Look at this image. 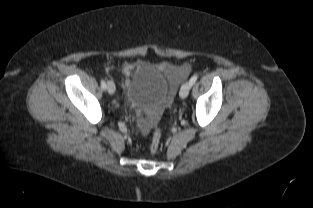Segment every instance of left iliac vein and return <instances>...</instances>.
Returning <instances> with one entry per match:
<instances>
[{"label":"left iliac vein","mask_w":313,"mask_h":208,"mask_svg":"<svg viewBox=\"0 0 313 208\" xmlns=\"http://www.w3.org/2000/svg\"><path fill=\"white\" fill-rule=\"evenodd\" d=\"M190 89H191L190 82L184 83L180 89V92H179L180 97L182 99L186 98L189 94Z\"/></svg>","instance_id":"4c4485c4"}]
</instances>
